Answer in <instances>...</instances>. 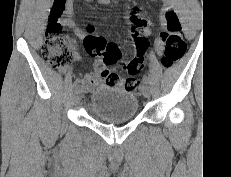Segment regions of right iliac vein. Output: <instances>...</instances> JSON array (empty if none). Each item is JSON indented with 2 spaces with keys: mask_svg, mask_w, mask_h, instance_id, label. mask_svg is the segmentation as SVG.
Instances as JSON below:
<instances>
[{
  "mask_svg": "<svg viewBox=\"0 0 231 177\" xmlns=\"http://www.w3.org/2000/svg\"><path fill=\"white\" fill-rule=\"evenodd\" d=\"M82 93H83V88L80 86H76L74 89V97L76 101L80 100Z\"/></svg>",
  "mask_w": 231,
  "mask_h": 177,
  "instance_id": "obj_1",
  "label": "right iliac vein"
}]
</instances>
